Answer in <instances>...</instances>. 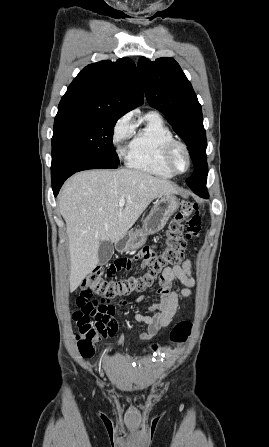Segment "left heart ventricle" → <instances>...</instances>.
Here are the masks:
<instances>
[{
  "label": "left heart ventricle",
  "mask_w": 269,
  "mask_h": 447,
  "mask_svg": "<svg viewBox=\"0 0 269 447\" xmlns=\"http://www.w3.org/2000/svg\"><path fill=\"white\" fill-rule=\"evenodd\" d=\"M174 161H175L176 168L179 171H184L187 168L186 155H185V153L182 150H178L176 152Z\"/></svg>",
  "instance_id": "left-heart-ventricle-1"
}]
</instances>
